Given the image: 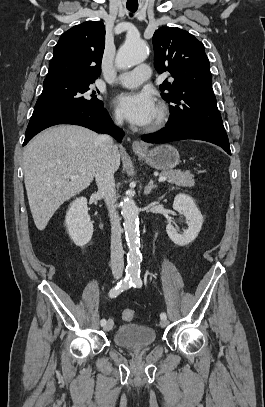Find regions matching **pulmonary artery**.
<instances>
[{
  "label": "pulmonary artery",
  "instance_id": "pulmonary-artery-1",
  "mask_svg": "<svg viewBox=\"0 0 265 407\" xmlns=\"http://www.w3.org/2000/svg\"><path fill=\"white\" fill-rule=\"evenodd\" d=\"M150 75V67L148 65H140L131 71L120 74L116 82L128 88L137 87L148 80Z\"/></svg>",
  "mask_w": 265,
  "mask_h": 407
}]
</instances>
